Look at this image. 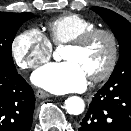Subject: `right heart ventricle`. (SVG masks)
Instances as JSON below:
<instances>
[{
  "instance_id": "1",
  "label": "right heart ventricle",
  "mask_w": 131,
  "mask_h": 131,
  "mask_svg": "<svg viewBox=\"0 0 131 131\" xmlns=\"http://www.w3.org/2000/svg\"><path fill=\"white\" fill-rule=\"evenodd\" d=\"M94 28L93 21L78 14L62 15L47 23L50 42L55 45L67 44Z\"/></svg>"
}]
</instances>
